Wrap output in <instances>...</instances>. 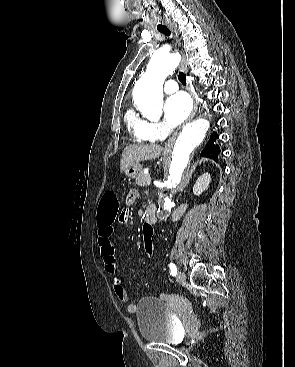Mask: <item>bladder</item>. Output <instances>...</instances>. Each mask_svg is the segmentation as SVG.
I'll use <instances>...</instances> for the list:
<instances>
[{
  "label": "bladder",
  "mask_w": 295,
  "mask_h": 367,
  "mask_svg": "<svg viewBox=\"0 0 295 367\" xmlns=\"http://www.w3.org/2000/svg\"><path fill=\"white\" fill-rule=\"evenodd\" d=\"M136 317L140 336L152 343L178 344L181 328L165 302L145 297L137 304Z\"/></svg>",
  "instance_id": "bladder-1"
}]
</instances>
